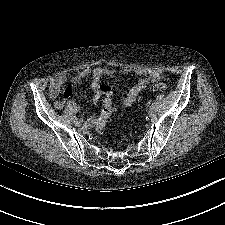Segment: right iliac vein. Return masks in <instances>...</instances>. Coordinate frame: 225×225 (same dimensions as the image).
<instances>
[{
    "instance_id": "1",
    "label": "right iliac vein",
    "mask_w": 225,
    "mask_h": 225,
    "mask_svg": "<svg viewBox=\"0 0 225 225\" xmlns=\"http://www.w3.org/2000/svg\"><path fill=\"white\" fill-rule=\"evenodd\" d=\"M81 124H82V121L81 120H75V125L76 126H81Z\"/></svg>"
}]
</instances>
